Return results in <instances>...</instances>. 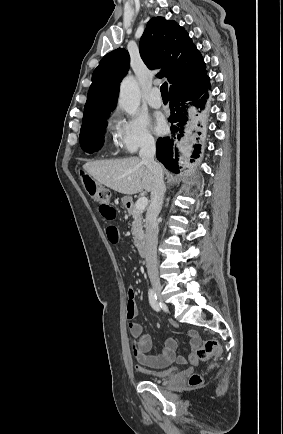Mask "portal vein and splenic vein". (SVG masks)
Instances as JSON below:
<instances>
[{
	"mask_svg": "<svg viewBox=\"0 0 283 434\" xmlns=\"http://www.w3.org/2000/svg\"><path fill=\"white\" fill-rule=\"evenodd\" d=\"M148 205V199L146 197H141L137 200L135 206L138 210H144Z\"/></svg>",
	"mask_w": 283,
	"mask_h": 434,
	"instance_id": "portal-vein-and-splenic-vein-1",
	"label": "portal vein and splenic vein"
}]
</instances>
